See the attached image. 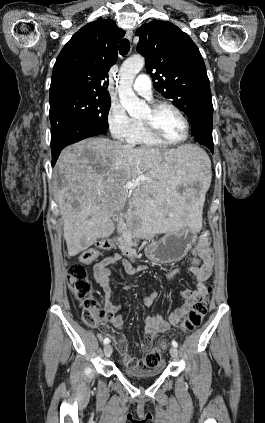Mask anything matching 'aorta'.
Listing matches in <instances>:
<instances>
[{"mask_svg": "<svg viewBox=\"0 0 265 423\" xmlns=\"http://www.w3.org/2000/svg\"><path fill=\"white\" fill-rule=\"evenodd\" d=\"M144 58L141 56H132L128 58L120 67V83L118 86V95L121 105L130 116L141 114L146 103L139 99L132 89L133 81L136 75L144 66Z\"/></svg>", "mask_w": 265, "mask_h": 423, "instance_id": "1", "label": "aorta"}]
</instances>
